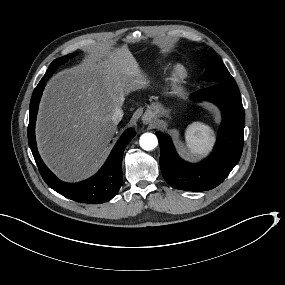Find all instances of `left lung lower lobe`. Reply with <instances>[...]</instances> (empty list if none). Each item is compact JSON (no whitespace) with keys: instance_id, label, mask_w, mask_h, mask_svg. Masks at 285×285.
<instances>
[{"instance_id":"left-lung-lower-lobe-1","label":"left lung lower lobe","mask_w":285,"mask_h":285,"mask_svg":"<svg viewBox=\"0 0 285 285\" xmlns=\"http://www.w3.org/2000/svg\"><path fill=\"white\" fill-rule=\"evenodd\" d=\"M192 100H208L222 111V124L212 154L198 164L182 160L171 138L156 132L160 145V167L165 180L174 188L206 191L218 186L238 163L244 140L245 114L235 83H214L192 94Z\"/></svg>"}]
</instances>
